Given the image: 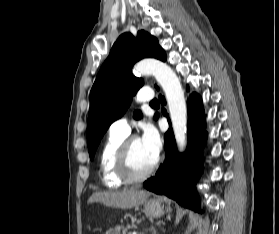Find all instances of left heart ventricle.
I'll return each instance as SVG.
<instances>
[{
	"mask_svg": "<svg viewBox=\"0 0 279 234\" xmlns=\"http://www.w3.org/2000/svg\"><path fill=\"white\" fill-rule=\"evenodd\" d=\"M156 160V158L146 149L140 139H136L131 144L130 163L137 173L146 171Z\"/></svg>",
	"mask_w": 279,
	"mask_h": 234,
	"instance_id": "b2bd125f",
	"label": "left heart ventricle"
}]
</instances>
